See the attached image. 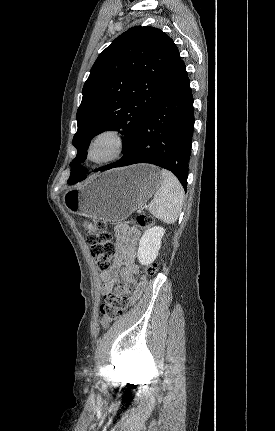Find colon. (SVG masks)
<instances>
[{"label": "colon", "instance_id": "5ec220e1", "mask_svg": "<svg viewBox=\"0 0 275 431\" xmlns=\"http://www.w3.org/2000/svg\"><path fill=\"white\" fill-rule=\"evenodd\" d=\"M137 223L142 227H148L153 223V219L149 215H139ZM96 228L97 230L90 233L87 240L96 265L101 271H105L112 263L115 255V246L109 234L104 230V224L102 222H96ZM156 270L157 265L150 264L146 266L145 273L147 275H153ZM129 294L130 288L124 284L122 289L118 292H111L105 295V302L100 309L101 323L103 326H107L123 316L128 307Z\"/></svg>", "mask_w": 275, "mask_h": 431}]
</instances>
